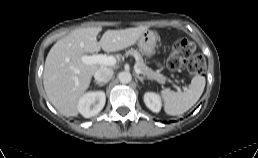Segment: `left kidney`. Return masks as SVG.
<instances>
[{
  "instance_id": "left-kidney-1",
  "label": "left kidney",
  "mask_w": 258,
  "mask_h": 158,
  "mask_svg": "<svg viewBox=\"0 0 258 158\" xmlns=\"http://www.w3.org/2000/svg\"><path fill=\"white\" fill-rule=\"evenodd\" d=\"M144 103L154 113L160 112L162 108L160 96L153 92H146L144 94Z\"/></svg>"
}]
</instances>
